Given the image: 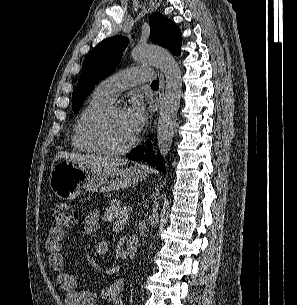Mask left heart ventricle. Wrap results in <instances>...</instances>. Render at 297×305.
Segmentation results:
<instances>
[{
  "label": "left heart ventricle",
  "mask_w": 297,
  "mask_h": 305,
  "mask_svg": "<svg viewBox=\"0 0 297 305\" xmlns=\"http://www.w3.org/2000/svg\"><path fill=\"white\" fill-rule=\"evenodd\" d=\"M99 135L109 147L113 148L122 147L135 137L121 110L114 111L100 123Z\"/></svg>",
  "instance_id": "obj_1"
}]
</instances>
